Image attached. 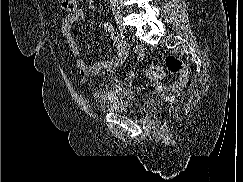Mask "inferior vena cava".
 Returning <instances> with one entry per match:
<instances>
[{
  "label": "inferior vena cava",
  "instance_id": "602c4592",
  "mask_svg": "<svg viewBox=\"0 0 243 182\" xmlns=\"http://www.w3.org/2000/svg\"><path fill=\"white\" fill-rule=\"evenodd\" d=\"M113 14H120L119 0H109Z\"/></svg>",
  "mask_w": 243,
  "mask_h": 182
}]
</instances>
